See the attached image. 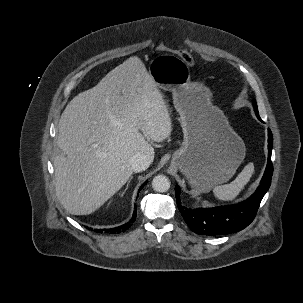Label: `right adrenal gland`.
<instances>
[{"mask_svg":"<svg viewBox=\"0 0 303 303\" xmlns=\"http://www.w3.org/2000/svg\"><path fill=\"white\" fill-rule=\"evenodd\" d=\"M132 178H133V177H131V178L129 179V181L127 182L126 188H125V190L123 191L122 195H124V194H125V192H126V190L128 189L129 184H130V182H131Z\"/></svg>","mask_w":303,"mask_h":303,"instance_id":"2a0ac1e0","label":"right adrenal gland"}]
</instances>
